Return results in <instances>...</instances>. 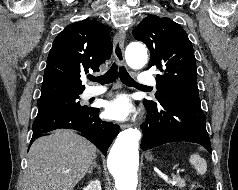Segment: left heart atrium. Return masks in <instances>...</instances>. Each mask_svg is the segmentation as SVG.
Returning <instances> with one entry per match:
<instances>
[{
	"label": "left heart atrium",
	"mask_w": 238,
	"mask_h": 190,
	"mask_svg": "<svg viewBox=\"0 0 238 190\" xmlns=\"http://www.w3.org/2000/svg\"><path fill=\"white\" fill-rule=\"evenodd\" d=\"M135 112L134 105L125 94H119L105 103L104 114L108 119L124 121Z\"/></svg>",
	"instance_id": "left-heart-atrium-1"
}]
</instances>
